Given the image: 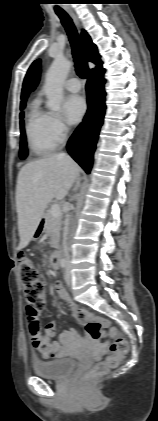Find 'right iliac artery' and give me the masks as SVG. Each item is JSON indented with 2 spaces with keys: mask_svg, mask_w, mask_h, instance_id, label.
I'll return each mask as SVG.
<instances>
[{
  "mask_svg": "<svg viewBox=\"0 0 158 421\" xmlns=\"http://www.w3.org/2000/svg\"><path fill=\"white\" fill-rule=\"evenodd\" d=\"M62 268H65L67 266V261L66 260H62L60 263Z\"/></svg>",
  "mask_w": 158,
  "mask_h": 421,
  "instance_id": "obj_1",
  "label": "right iliac artery"
}]
</instances>
